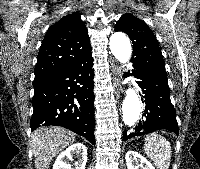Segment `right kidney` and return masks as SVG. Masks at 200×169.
I'll return each instance as SVG.
<instances>
[{
    "mask_svg": "<svg viewBox=\"0 0 200 169\" xmlns=\"http://www.w3.org/2000/svg\"><path fill=\"white\" fill-rule=\"evenodd\" d=\"M77 159L75 162V169H85L87 162V148L82 143H76L68 147L65 151L61 152L57 157L53 169H71L69 161Z\"/></svg>",
    "mask_w": 200,
    "mask_h": 169,
    "instance_id": "1",
    "label": "right kidney"
}]
</instances>
